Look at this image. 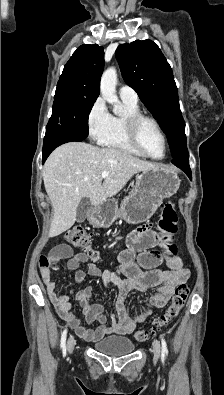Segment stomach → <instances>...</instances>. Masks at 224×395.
Wrapping results in <instances>:
<instances>
[{"label": "stomach", "mask_w": 224, "mask_h": 395, "mask_svg": "<svg viewBox=\"0 0 224 395\" xmlns=\"http://www.w3.org/2000/svg\"><path fill=\"white\" fill-rule=\"evenodd\" d=\"M181 180L175 168L158 165L142 171L137 176L133 191L118 206L115 201L106 200L95 207L89 221L96 227L108 228L121 217L131 224L147 221L161 205L163 199L173 196Z\"/></svg>", "instance_id": "0dacf381"}]
</instances>
